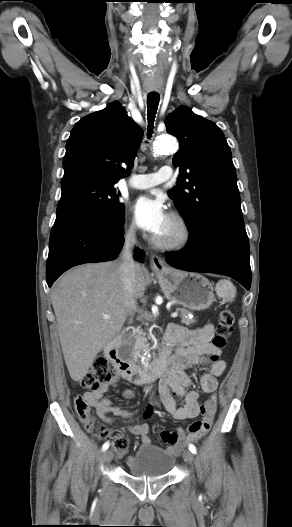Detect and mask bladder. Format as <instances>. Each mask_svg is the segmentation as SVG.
Masks as SVG:
<instances>
[{
	"instance_id": "obj_1",
	"label": "bladder",
	"mask_w": 292,
	"mask_h": 527,
	"mask_svg": "<svg viewBox=\"0 0 292 527\" xmlns=\"http://www.w3.org/2000/svg\"><path fill=\"white\" fill-rule=\"evenodd\" d=\"M174 462L175 458L168 450L147 444L127 458L126 469L133 477H160L171 471Z\"/></svg>"
}]
</instances>
